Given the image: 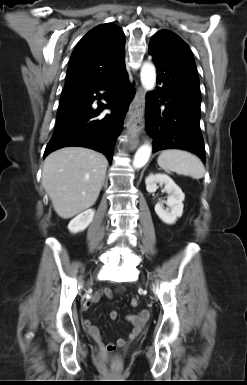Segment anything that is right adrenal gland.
<instances>
[{"mask_svg":"<svg viewBox=\"0 0 247 385\" xmlns=\"http://www.w3.org/2000/svg\"><path fill=\"white\" fill-rule=\"evenodd\" d=\"M105 185V180L103 181V183H102V186H104Z\"/></svg>","mask_w":247,"mask_h":385,"instance_id":"obj_1","label":"right adrenal gland"}]
</instances>
